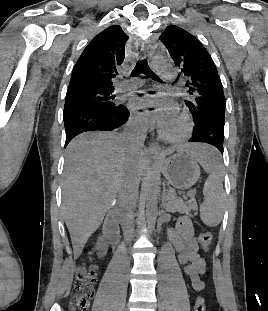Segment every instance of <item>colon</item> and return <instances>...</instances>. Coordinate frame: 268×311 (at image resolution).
<instances>
[{
    "label": "colon",
    "mask_w": 268,
    "mask_h": 311,
    "mask_svg": "<svg viewBox=\"0 0 268 311\" xmlns=\"http://www.w3.org/2000/svg\"><path fill=\"white\" fill-rule=\"evenodd\" d=\"M199 243L204 251H208L212 244L211 233L204 232L200 234ZM96 282L97 267L94 264H87L79 269L75 283L76 294L71 305L72 311L88 310L90 301L94 295ZM193 311H206V304L203 297H197Z\"/></svg>",
    "instance_id": "5ec220e1"
}]
</instances>
